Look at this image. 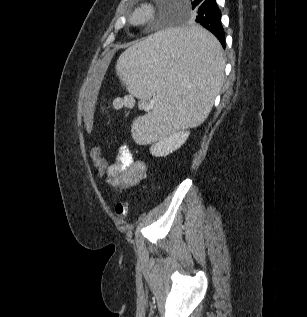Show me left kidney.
<instances>
[{
	"instance_id": "left-kidney-1",
	"label": "left kidney",
	"mask_w": 307,
	"mask_h": 317,
	"mask_svg": "<svg viewBox=\"0 0 307 317\" xmlns=\"http://www.w3.org/2000/svg\"><path fill=\"white\" fill-rule=\"evenodd\" d=\"M189 134L190 132L187 130L173 132L153 144L150 148V153L156 157L167 156L180 148L188 139Z\"/></svg>"
}]
</instances>
